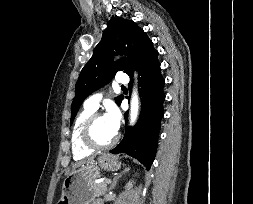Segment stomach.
Masks as SVG:
<instances>
[{
  "label": "stomach",
  "mask_w": 253,
  "mask_h": 204,
  "mask_svg": "<svg viewBox=\"0 0 253 204\" xmlns=\"http://www.w3.org/2000/svg\"><path fill=\"white\" fill-rule=\"evenodd\" d=\"M121 165L117 156L102 154L97 161L73 169L63 181L58 204H93L97 197L93 191V181L100 177L101 170L117 171Z\"/></svg>",
  "instance_id": "1"
}]
</instances>
